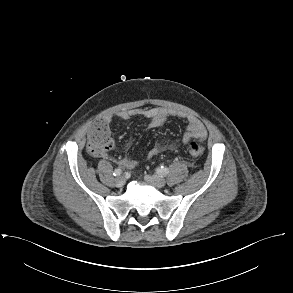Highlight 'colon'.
<instances>
[{"label": "colon", "instance_id": "obj_1", "mask_svg": "<svg viewBox=\"0 0 293 293\" xmlns=\"http://www.w3.org/2000/svg\"><path fill=\"white\" fill-rule=\"evenodd\" d=\"M113 147L107 124L103 120L95 121L88 131V148L93 156L99 157L107 154ZM189 153L200 158L203 155V148L199 142L190 138L187 141Z\"/></svg>", "mask_w": 293, "mask_h": 293}]
</instances>
